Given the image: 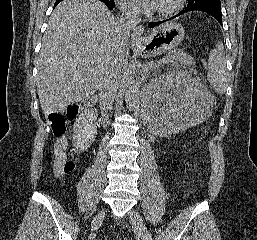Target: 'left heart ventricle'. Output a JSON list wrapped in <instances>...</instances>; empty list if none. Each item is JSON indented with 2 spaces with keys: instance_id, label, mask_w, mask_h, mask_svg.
<instances>
[{
  "instance_id": "obj_1",
  "label": "left heart ventricle",
  "mask_w": 257,
  "mask_h": 240,
  "mask_svg": "<svg viewBox=\"0 0 257 240\" xmlns=\"http://www.w3.org/2000/svg\"><path fill=\"white\" fill-rule=\"evenodd\" d=\"M171 0H160L157 8H163L170 4Z\"/></svg>"
}]
</instances>
